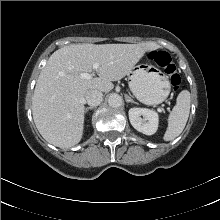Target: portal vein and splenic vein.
<instances>
[{"instance_id": "portal-vein-and-splenic-vein-1", "label": "portal vein and splenic vein", "mask_w": 220, "mask_h": 220, "mask_svg": "<svg viewBox=\"0 0 220 220\" xmlns=\"http://www.w3.org/2000/svg\"><path fill=\"white\" fill-rule=\"evenodd\" d=\"M93 68L94 69H98L99 68V63H94L93 64ZM80 77L82 78V79H91L92 77H93V75L92 74H89V73H81L80 74Z\"/></svg>"}]
</instances>
